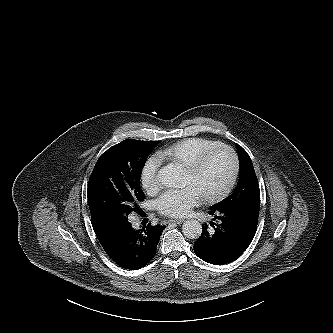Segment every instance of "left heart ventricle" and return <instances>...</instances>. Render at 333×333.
<instances>
[{
    "mask_svg": "<svg viewBox=\"0 0 333 333\" xmlns=\"http://www.w3.org/2000/svg\"><path fill=\"white\" fill-rule=\"evenodd\" d=\"M234 167L232 154L225 149L213 153L204 166L195 174L182 173V184L192 186L203 196L220 190L230 178Z\"/></svg>",
    "mask_w": 333,
    "mask_h": 333,
    "instance_id": "1",
    "label": "left heart ventricle"
}]
</instances>
